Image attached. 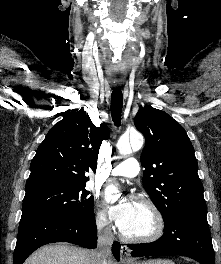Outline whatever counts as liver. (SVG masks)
Listing matches in <instances>:
<instances>
[{
  "mask_svg": "<svg viewBox=\"0 0 221 264\" xmlns=\"http://www.w3.org/2000/svg\"><path fill=\"white\" fill-rule=\"evenodd\" d=\"M24 264H97L95 251L64 244L48 245L34 252ZM107 264H116L108 259Z\"/></svg>",
  "mask_w": 221,
  "mask_h": 264,
  "instance_id": "6515ba94",
  "label": "liver"
}]
</instances>
